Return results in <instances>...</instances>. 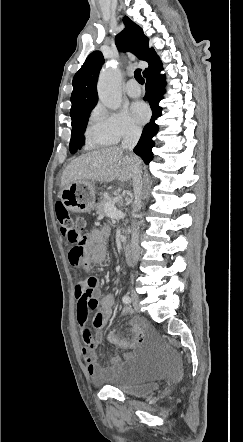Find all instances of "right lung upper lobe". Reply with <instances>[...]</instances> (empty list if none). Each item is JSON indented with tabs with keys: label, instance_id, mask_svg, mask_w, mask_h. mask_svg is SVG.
Listing matches in <instances>:
<instances>
[{
	"label": "right lung upper lobe",
	"instance_id": "right-lung-upper-lobe-1",
	"mask_svg": "<svg viewBox=\"0 0 243 442\" xmlns=\"http://www.w3.org/2000/svg\"><path fill=\"white\" fill-rule=\"evenodd\" d=\"M125 29L115 37V43L119 51H130L138 59L148 62L149 66L143 74L152 68L158 61V55L153 48L148 47L149 40L144 35L142 29L124 17ZM104 63L103 55L100 51L92 52L85 60L82 67L73 78V92L71 94L72 107L70 116L72 121L86 111H91L98 101L96 83Z\"/></svg>",
	"mask_w": 243,
	"mask_h": 442
}]
</instances>
